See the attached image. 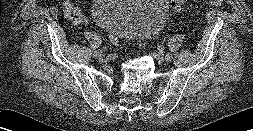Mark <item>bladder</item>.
<instances>
[{
  "label": "bladder",
  "mask_w": 253,
  "mask_h": 131,
  "mask_svg": "<svg viewBox=\"0 0 253 131\" xmlns=\"http://www.w3.org/2000/svg\"><path fill=\"white\" fill-rule=\"evenodd\" d=\"M92 14L101 27L126 41L158 33L168 7L162 0H94Z\"/></svg>",
  "instance_id": "31cf9c89"
}]
</instances>
